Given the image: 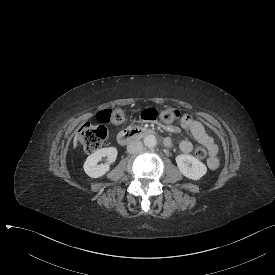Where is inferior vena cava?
<instances>
[{
    "instance_id": "1",
    "label": "inferior vena cava",
    "mask_w": 275,
    "mask_h": 275,
    "mask_svg": "<svg viewBox=\"0 0 275 275\" xmlns=\"http://www.w3.org/2000/svg\"><path fill=\"white\" fill-rule=\"evenodd\" d=\"M143 149V144L141 141L135 140L128 144L127 151L129 153H136Z\"/></svg>"
}]
</instances>
